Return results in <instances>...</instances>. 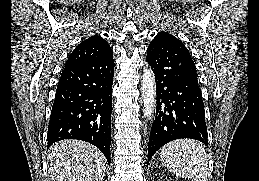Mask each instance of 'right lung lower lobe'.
<instances>
[{"label": "right lung lower lobe", "instance_id": "obj_1", "mask_svg": "<svg viewBox=\"0 0 259 181\" xmlns=\"http://www.w3.org/2000/svg\"><path fill=\"white\" fill-rule=\"evenodd\" d=\"M114 60L112 52L64 68L48 126V146L62 139L95 145L110 164Z\"/></svg>", "mask_w": 259, "mask_h": 181}]
</instances>
